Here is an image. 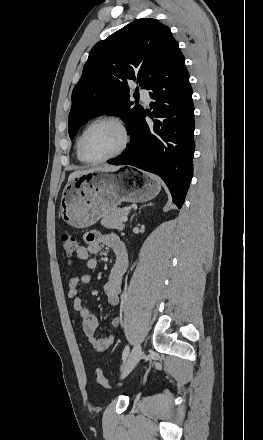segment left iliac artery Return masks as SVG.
Masks as SVG:
<instances>
[{"mask_svg":"<svg viewBox=\"0 0 263 440\" xmlns=\"http://www.w3.org/2000/svg\"><path fill=\"white\" fill-rule=\"evenodd\" d=\"M129 354V346L127 345L123 351L122 359L125 360Z\"/></svg>","mask_w":263,"mask_h":440,"instance_id":"1","label":"left iliac artery"}]
</instances>
